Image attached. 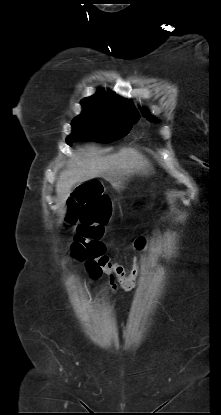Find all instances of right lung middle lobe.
I'll return each instance as SVG.
<instances>
[{
    "mask_svg": "<svg viewBox=\"0 0 221 415\" xmlns=\"http://www.w3.org/2000/svg\"><path fill=\"white\" fill-rule=\"evenodd\" d=\"M83 106V112L72 122L73 132L66 139L68 145L77 141L111 142L129 132L139 117L127 110Z\"/></svg>",
    "mask_w": 221,
    "mask_h": 415,
    "instance_id": "obj_1",
    "label": "right lung middle lobe"
}]
</instances>
